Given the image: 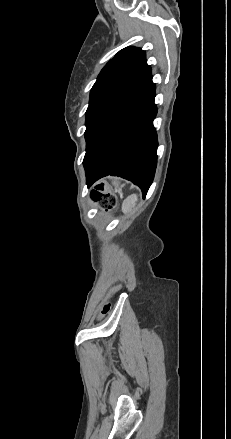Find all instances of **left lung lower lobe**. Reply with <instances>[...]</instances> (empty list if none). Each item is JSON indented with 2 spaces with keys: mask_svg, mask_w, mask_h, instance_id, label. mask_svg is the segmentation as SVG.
I'll return each mask as SVG.
<instances>
[{
  "mask_svg": "<svg viewBox=\"0 0 231 439\" xmlns=\"http://www.w3.org/2000/svg\"><path fill=\"white\" fill-rule=\"evenodd\" d=\"M152 76L114 106L87 134L84 167L88 186L114 175L132 181L146 195L157 165Z\"/></svg>",
  "mask_w": 231,
  "mask_h": 439,
  "instance_id": "left-lung-lower-lobe-1",
  "label": "left lung lower lobe"
}]
</instances>
